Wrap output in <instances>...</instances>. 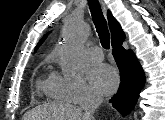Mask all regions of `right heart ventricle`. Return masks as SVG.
Wrapping results in <instances>:
<instances>
[{
  "mask_svg": "<svg viewBox=\"0 0 165 120\" xmlns=\"http://www.w3.org/2000/svg\"><path fill=\"white\" fill-rule=\"evenodd\" d=\"M38 89L43 91L45 94L51 96V97H54V98H58L54 93H53V90H52V87H51V83H50V78L47 79V80H42V81H39L38 82Z\"/></svg>",
  "mask_w": 165,
  "mask_h": 120,
  "instance_id": "e07e8e85",
  "label": "right heart ventricle"
}]
</instances>
